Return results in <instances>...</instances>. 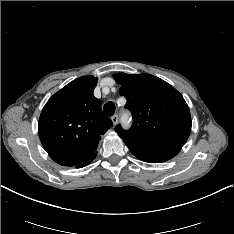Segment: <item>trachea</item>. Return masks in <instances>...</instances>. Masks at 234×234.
Listing matches in <instances>:
<instances>
[{
    "instance_id": "trachea-1",
    "label": "trachea",
    "mask_w": 234,
    "mask_h": 234,
    "mask_svg": "<svg viewBox=\"0 0 234 234\" xmlns=\"http://www.w3.org/2000/svg\"><path fill=\"white\" fill-rule=\"evenodd\" d=\"M103 111L107 116H112L115 112V104L112 101L107 102L103 107Z\"/></svg>"
}]
</instances>
